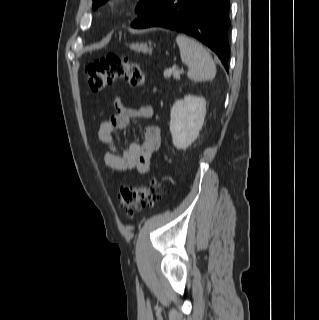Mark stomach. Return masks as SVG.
<instances>
[{
    "label": "stomach",
    "instance_id": "1",
    "mask_svg": "<svg viewBox=\"0 0 319 320\" xmlns=\"http://www.w3.org/2000/svg\"><path fill=\"white\" fill-rule=\"evenodd\" d=\"M130 49L143 53L151 52V48H149L146 43H132L130 44Z\"/></svg>",
    "mask_w": 319,
    "mask_h": 320
}]
</instances>
